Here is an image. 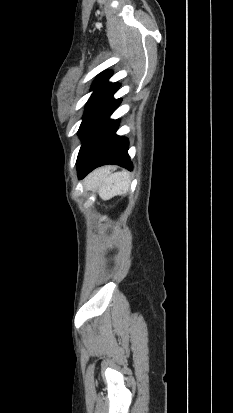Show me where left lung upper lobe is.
<instances>
[{
  "instance_id": "obj_1",
  "label": "left lung upper lobe",
  "mask_w": 233,
  "mask_h": 413,
  "mask_svg": "<svg viewBox=\"0 0 233 413\" xmlns=\"http://www.w3.org/2000/svg\"><path fill=\"white\" fill-rule=\"evenodd\" d=\"M111 74V72L101 73L92 85V90H94V92L86 105L83 121L78 131L80 137H83L89 125L97 117V115L110 103V101L113 99L114 93L119 88V84L108 82Z\"/></svg>"
}]
</instances>
